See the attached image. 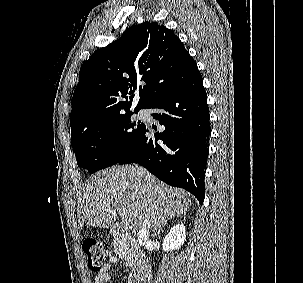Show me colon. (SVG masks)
Wrapping results in <instances>:
<instances>
[{
    "mask_svg": "<svg viewBox=\"0 0 303 283\" xmlns=\"http://www.w3.org/2000/svg\"><path fill=\"white\" fill-rule=\"evenodd\" d=\"M83 251L87 258V263L92 271H100L105 265V261L112 253L111 245L100 240H87L83 243Z\"/></svg>",
    "mask_w": 303,
    "mask_h": 283,
    "instance_id": "obj_1",
    "label": "colon"
}]
</instances>
